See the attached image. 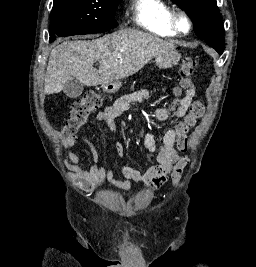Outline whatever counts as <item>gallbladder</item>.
I'll return each instance as SVG.
<instances>
[{"mask_svg":"<svg viewBox=\"0 0 256 267\" xmlns=\"http://www.w3.org/2000/svg\"><path fill=\"white\" fill-rule=\"evenodd\" d=\"M84 90V84H81L79 80H67L63 86V92L68 98H79Z\"/></svg>","mask_w":256,"mask_h":267,"instance_id":"gallbladder-1","label":"gallbladder"}]
</instances>
